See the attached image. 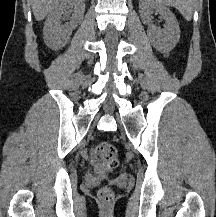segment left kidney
Listing matches in <instances>:
<instances>
[{
  "mask_svg": "<svg viewBox=\"0 0 216 217\" xmlns=\"http://www.w3.org/2000/svg\"><path fill=\"white\" fill-rule=\"evenodd\" d=\"M154 11L166 21L163 30L152 24L151 14ZM139 12L142 22L148 25L147 35L153 47L162 53L170 52L180 38V28L175 15L155 0H140Z\"/></svg>",
  "mask_w": 216,
  "mask_h": 217,
  "instance_id": "5707ae66",
  "label": "left kidney"
}]
</instances>
